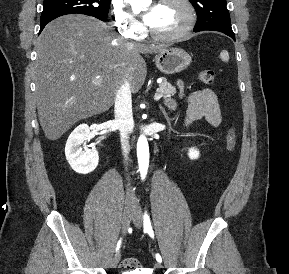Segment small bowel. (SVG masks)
I'll list each match as a JSON object with an SVG mask.
<instances>
[{"label": "small bowel", "instance_id": "1", "mask_svg": "<svg viewBox=\"0 0 289 274\" xmlns=\"http://www.w3.org/2000/svg\"><path fill=\"white\" fill-rule=\"evenodd\" d=\"M178 87L181 96L188 103L185 126H189L195 121L203 118L214 127L220 125L222 121L220 106L216 94L211 89L203 88L186 93L181 81H178ZM167 105L170 110L175 108L174 101H168Z\"/></svg>", "mask_w": 289, "mask_h": 274}]
</instances>
